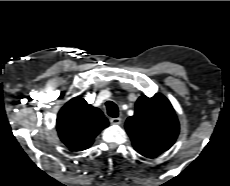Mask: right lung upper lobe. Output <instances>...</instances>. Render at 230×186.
I'll return each mask as SVG.
<instances>
[{
    "mask_svg": "<svg viewBox=\"0 0 230 186\" xmlns=\"http://www.w3.org/2000/svg\"><path fill=\"white\" fill-rule=\"evenodd\" d=\"M107 126L108 120L101 110L76 97L59 111L56 128L67 147L82 151L89 148L98 133Z\"/></svg>",
    "mask_w": 230,
    "mask_h": 186,
    "instance_id": "1",
    "label": "right lung upper lobe"
}]
</instances>
